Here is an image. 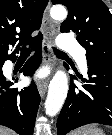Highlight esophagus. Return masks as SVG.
Here are the masks:
<instances>
[{"label": "esophagus", "instance_id": "esophagus-1", "mask_svg": "<svg viewBox=\"0 0 112 135\" xmlns=\"http://www.w3.org/2000/svg\"><path fill=\"white\" fill-rule=\"evenodd\" d=\"M50 6L51 3L50 1L48 2V5L44 11L43 19H42V25H41V30L44 34V44H43V52L46 57V59H50L51 55V49H50V44L52 42L53 36L55 35L58 25L56 22H54L49 15L50 11ZM45 59V61H46ZM48 82L49 79L42 80L38 83V91L41 96H44L47 87H48Z\"/></svg>", "mask_w": 112, "mask_h": 135}]
</instances>
